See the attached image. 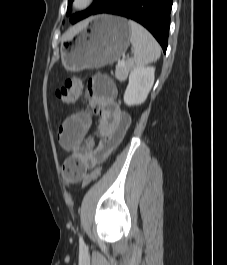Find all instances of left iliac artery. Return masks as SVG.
<instances>
[{
  "label": "left iliac artery",
  "instance_id": "obj_1",
  "mask_svg": "<svg viewBox=\"0 0 227 265\" xmlns=\"http://www.w3.org/2000/svg\"><path fill=\"white\" fill-rule=\"evenodd\" d=\"M80 242L83 243V238L82 236L80 235Z\"/></svg>",
  "mask_w": 227,
  "mask_h": 265
}]
</instances>
